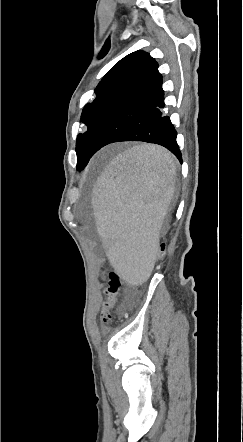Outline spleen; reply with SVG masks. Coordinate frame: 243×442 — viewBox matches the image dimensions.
Wrapping results in <instances>:
<instances>
[{
    "label": "spleen",
    "instance_id": "1",
    "mask_svg": "<svg viewBox=\"0 0 243 442\" xmlns=\"http://www.w3.org/2000/svg\"><path fill=\"white\" fill-rule=\"evenodd\" d=\"M175 162L165 149L143 144L119 154L98 178L91 226H99L106 257L125 274L126 286H141L157 251L159 226L169 214Z\"/></svg>",
    "mask_w": 243,
    "mask_h": 442
}]
</instances>
